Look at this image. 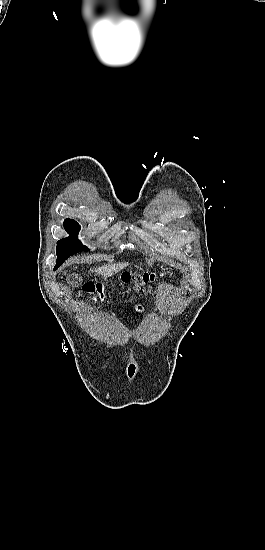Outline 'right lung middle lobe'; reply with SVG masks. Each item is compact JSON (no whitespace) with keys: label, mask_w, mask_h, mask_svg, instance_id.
<instances>
[{"label":"right lung middle lobe","mask_w":265,"mask_h":550,"mask_svg":"<svg viewBox=\"0 0 265 550\" xmlns=\"http://www.w3.org/2000/svg\"><path fill=\"white\" fill-rule=\"evenodd\" d=\"M63 226L70 236L57 242V263L55 267H59L69 256L77 252L89 251V249L83 246L80 240H78V233L81 227L75 220L66 219L64 220Z\"/></svg>","instance_id":"right-lung-middle-lobe-1"}]
</instances>
